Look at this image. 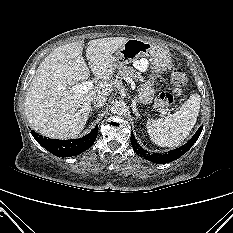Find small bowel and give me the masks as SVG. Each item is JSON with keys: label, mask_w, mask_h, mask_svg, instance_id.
Wrapping results in <instances>:
<instances>
[{"label": "small bowel", "mask_w": 233, "mask_h": 233, "mask_svg": "<svg viewBox=\"0 0 233 233\" xmlns=\"http://www.w3.org/2000/svg\"><path fill=\"white\" fill-rule=\"evenodd\" d=\"M134 66L140 71L148 69V61L146 59H138L134 62Z\"/></svg>", "instance_id": "obj_1"}]
</instances>
